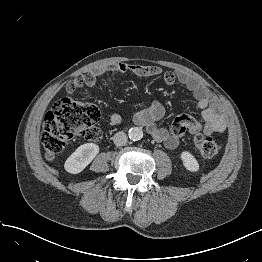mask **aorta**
I'll list each match as a JSON object with an SVG mask.
<instances>
[{"label": "aorta", "mask_w": 262, "mask_h": 262, "mask_svg": "<svg viewBox=\"0 0 262 262\" xmlns=\"http://www.w3.org/2000/svg\"><path fill=\"white\" fill-rule=\"evenodd\" d=\"M128 136L133 141H139L143 137V131L140 127H133L129 130Z\"/></svg>", "instance_id": "obj_1"}]
</instances>
